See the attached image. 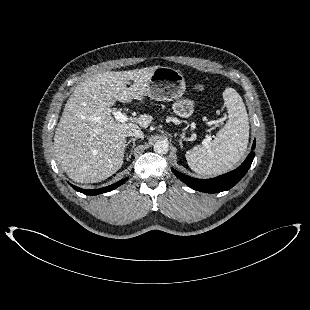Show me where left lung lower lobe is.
I'll return each mask as SVG.
<instances>
[{"mask_svg":"<svg viewBox=\"0 0 310 310\" xmlns=\"http://www.w3.org/2000/svg\"><path fill=\"white\" fill-rule=\"evenodd\" d=\"M254 148L255 141L253 142L252 150ZM254 156L255 153L252 151L237 169L212 179H196L186 176L173 168L171 169L180 180L192 189L207 193H219L229 190L242 179L250 168Z\"/></svg>","mask_w":310,"mask_h":310,"instance_id":"1","label":"left lung lower lobe"}]
</instances>
